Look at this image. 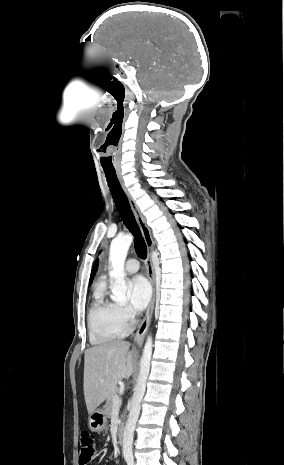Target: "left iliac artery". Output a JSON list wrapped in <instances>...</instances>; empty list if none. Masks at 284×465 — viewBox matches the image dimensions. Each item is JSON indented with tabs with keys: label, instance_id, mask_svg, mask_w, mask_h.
Returning <instances> with one entry per match:
<instances>
[{
	"label": "left iliac artery",
	"instance_id": "44dca946",
	"mask_svg": "<svg viewBox=\"0 0 284 465\" xmlns=\"http://www.w3.org/2000/svg\"><path fill=\"white\" fill-rule=\"evenodd\" d=\"M127 464H128V465H134V461H133L132 459H128V460H127Z\"/></svg>",
	"mask_w": 284,
	"mask_h": 465
}]
</instances>
